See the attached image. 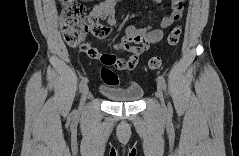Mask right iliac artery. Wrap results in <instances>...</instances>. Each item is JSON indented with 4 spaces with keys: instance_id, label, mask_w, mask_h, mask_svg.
Masks as SVG:
<instances>
[{
    "instance_id": "1",
    "label": "right iliac artery",
    "mask_w": 239,
    "mask_h": 156,
    "mask_svg": "<svg viewBox=\"0 0 239 156\" xmlns=\"http://www.w3.org/2000/svg\"><path fill=\"white\" fill-rule=\"evenodd\" d=\"M87 83H88V78H87V77H85V78H83V79L81 80V82H80V84H79V89H80V91L83 90V88L87 85Z\"/></svg>"
}]
</instances>
